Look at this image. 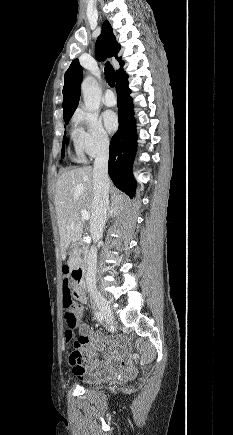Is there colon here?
<instances>
[{
  "label": "colon",
  "instance_id": "obj_1",
  "mask_svg": "<svg viewBox=\"0 0 233 435\" xmlns=\"http://www.w3.org/2000/svg\"><path fill=\"white\" fill-rule=\"evenodd\" d=\"M75 275L68 266L63 267V281L70 282L74 281ZM64 310V321L66 326L65 339L66 345L69 348L68 361L70 364L80 363L82 360V355L78 350L79 345L83 341L81 336H76L74 330L76 327V322L78 318L79 311L72 303L71 297L69 295H64L63 297Z\"/></svg>",
  "mask_w": 233,
  "mask_h": 435
}]
</instances>
